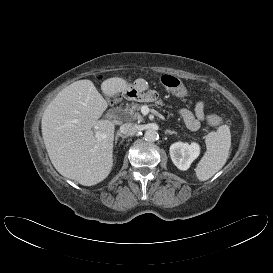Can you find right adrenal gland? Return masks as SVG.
Listing matches in <instances>:
<instances>
[{
  "mask_svg": "<svg viewBox=\"0 0 273 273\" xmlns=\"http://www.w3.org/2000/svg\"><path fill=\"white\" fill-rule=\"evenodd\" d=\"M122 138L123 140L126 139L127 137L120 132H117L116 137H115V144H117L118 138Z\"/></svg>",
  "mask_w": 273,
  "mask_h": 273,
  "instance_id": "right-adrenal-gland-1",
  "label": "right adrenal gland"
}]
</instances>
